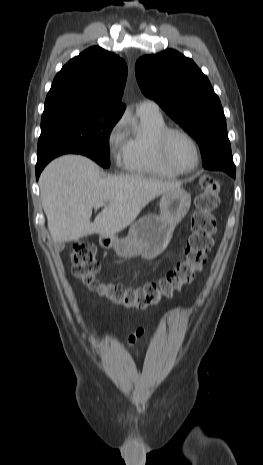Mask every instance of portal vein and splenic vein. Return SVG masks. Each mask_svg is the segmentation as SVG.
Returning a JSON list of instances; mask_svg holds the SVG:
<instances>
[{"instance_id": "portal-vein-and-splenic-vein-1", "label": "portal vein and splenic vein", "mask_w": 263, "mask_h": 465, "mask_svg": "<svg viewBox=\"0 0 263 465\" xmlns=\"http://www.w3.org/2000/svg\"><path fill=\"white\" fill-rule=\"evenodd\" d=\"M101 206H103V203H98V204H96V208H99V207H101Z\"/></svg>"}]
</instances>
